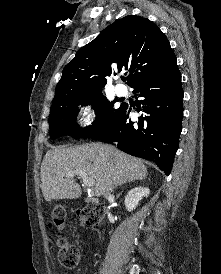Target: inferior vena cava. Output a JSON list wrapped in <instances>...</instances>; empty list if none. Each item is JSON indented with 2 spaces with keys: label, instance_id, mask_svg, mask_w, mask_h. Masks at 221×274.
I'll use <instances>...</instances> for the list:
<instances>
[{
  "label": "inferior vena cava",
  "instance_id": "602c4592",
  "mask_svg": "<svg viewBox=\"0 0 221 274\" xmlns=\"http://www.w3.org/2000/svg\"><path fill=\"white\" fill-rule=\"evenodd\" d=\"M112 192V189L110 191L105 192L103 195L106 197L110 196Z\"/></svg>",
  "mask_w": 221,
  "mask_h": 274
}]
</instances>
